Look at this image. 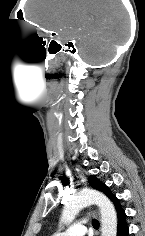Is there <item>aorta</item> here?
<instances>
[{
  "mask_svg": "<svg viewBox=\"0 0 145 236\" xmlns=\"http://www.w3.org/2000/svg\"><path fill=\"white\" fill-rule=\"evenodd\" d=\"M92 204H96L101 212V236H116L115 208L104 194L95 190H83L70 197L63 208L61 221L71 223L82 208Z\"/></svg>",
  "mask_w": 145,
  "mask_h": 236,
  "instance_id": "obj_1",
  "label": "aorta"
}]
</instances>
